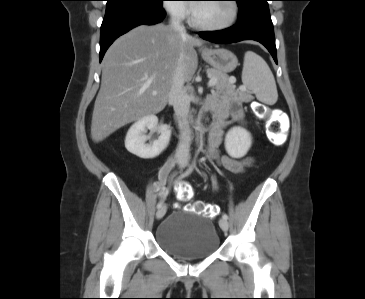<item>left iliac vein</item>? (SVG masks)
Instances as JSON below:
<instances>
[{"label":"left iliac vein","instance_id":"4c4485c4","mask_svg":"<svg viewBox=\"0 0 365 299\" xmlns=\"http://www.w3.org/2000/svg\"><path fill=\"white\" fill-rule=\"evenodd\" d=\"M219 225H220V228H221L224 232H226V231L228 230L229 225H228V221H227L226 219L221 218V219L219 220Z\"/></svg>","mask_w":365,"mask_h":299}]
</instances>
